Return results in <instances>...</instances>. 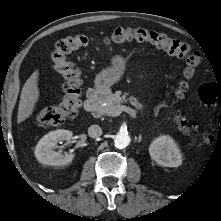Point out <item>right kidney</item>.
<instances>
[{
  "label": "right kidney",
  "instance_id": "obj_1",
  "mask_svg": "<svg viewBox=\"0 0 221 221\" xmlns=\"http://www.w3.org/2000/svg\"><path fill=\"white\" fill-rule=\"evenodd\" d=\"M72 135L73 133L71 131L60 129L51 131L43 136L35 148V156L37 160L42 164L50 166H60L71 163L74 159V154H60L53 149L57 143H60L64 140H71Z\"/></svg>",
  "mask_w": 221,
  "mask_h": 221
}]
</instances>
